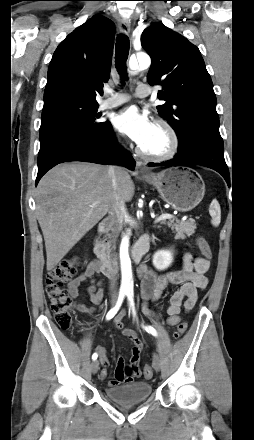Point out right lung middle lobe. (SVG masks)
Listing matches in <instances>:
<instances>
[{
	"instance_id": "obj_1",
	"label": "right lung middle lobe",
	"mask_w": 254,
	"mask_h": 440,
	"mask_svg": "<svg viewBox=\"0 0 254 440\" xmlns=\"http://www.w3.org/2000/svg\"><path fill=\"white\" fill-rule=\"evenodd\" d=\"M98 103L75 97H59L44 103L38 159L61 142L95 136L105 127L99 121Z\"/></svg>"
}]
</instances>
